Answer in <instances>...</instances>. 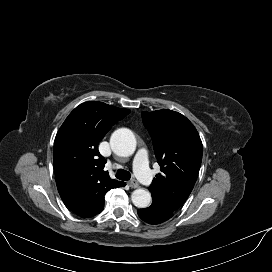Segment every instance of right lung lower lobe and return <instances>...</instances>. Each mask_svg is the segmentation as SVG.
I'll use <instances>...</instances> for the list:
<instances>
[{"label": "right lung lower lobe", "instance_id": "98d812e1", "mask_svg": "<svg viewBox=\"0 0 272 272\" xmlns=\"http://www.w3.org/2000/svg\"><path fill=\"white\" fill-rule=\"evenodd\" d=\"M126 184L123 182V184L121 185V187L125 186Z\"/></svg>", "mask_w": 272, "mask_h": 272}]
</instances>
